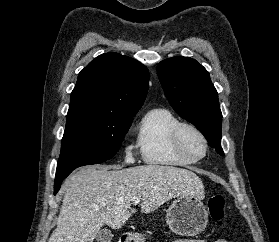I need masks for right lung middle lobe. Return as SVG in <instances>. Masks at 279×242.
Returning <instances> with one entry per match:
<instances>
[{"mask_svg": "<svg viewBox=\"0 0 279 242\" xmlns=\"http://www.w3.org/2000/svg\"><path fill=\"white\" fill-rule=\"evenodd\" d=\"M133 117L94 119L67 115L55 181L74 169L112 158L121 147Z\"/></svg>", "mask_w": 279, "mask_h": 242, "instance_id": "1", "label": "right lung middle lobe"}]
</instances>
